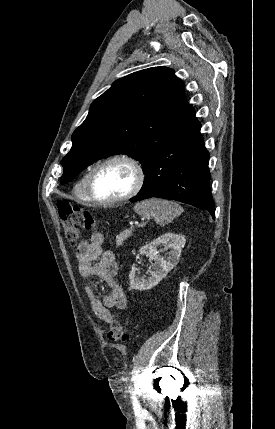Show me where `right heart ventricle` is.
<instances>
[{
	"instance_id": "obj_1",
	"label": "right heart ventricle",
	"mask_w": 275,
	"mask_h": 429,
	"mask_svg": "<svg viewBox=\"0 0 275 429\" xmlns=\"http://www.w3.org/2000/svg\"><path fill=\"white\" fill-rule=\"evenodd\" d=\"M90 171H91V169H88L83 173L81 178L76 182L74 189H73L74 195L79 200L85 201V202L89 201V198H88L87 193H86V183H87V178H88Z\"/></svg>"
}]
</instances>
